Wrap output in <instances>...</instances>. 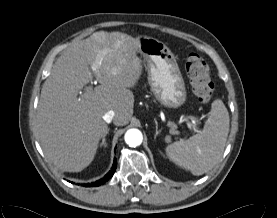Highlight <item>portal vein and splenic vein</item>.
I'll use <instances>...</instances> for the list:
<instances>
[{"instance_id":"18ae733b","label":"portal vein and splenic vein","mask_w":277,"mask_h":218,"mask_svg":"<svg viewBox=\"0 0 277 218\" xmlns=\"http://www.w3.org/2000/svg\"><path fill=\"white\" fill-rule=\"evenodd\" d=\"M92 69L95 70L94 67H93ZM91 89H92V86L86 87V91H89V90H91ZM187 125H188V127H189L190 129L193 127L192 123H191V122H188V121H187ZM170 133H171V134H177V133H178V132L176 131V126H175V125L171 126Z\"/></svg>"}]
</instances>
